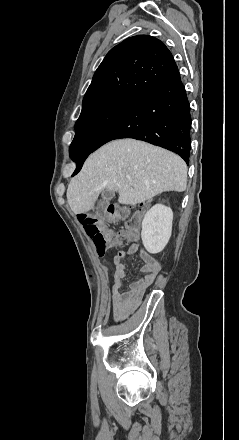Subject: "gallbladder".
I'll use <instances>...</instances> for the list:
<instances>
[{"label":"gallbladder","instance_id":"obj_1","mask_svg":"<svg viewBox=\"0 0 239 440\" xmlns=\"http://www.w3.org/2000/svg\"><path fill=\"white\" fill-rule=\"evenodd\" d=\"M114 196H115L114 190H104V192H102V198L104 202H108V200H112Z\"/></svg>","mask_w":239,"mask_h":440}]
</instances>
